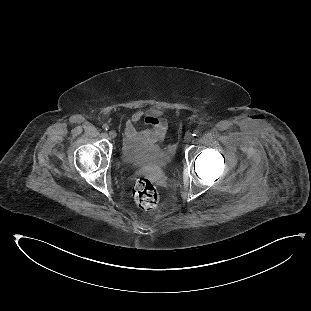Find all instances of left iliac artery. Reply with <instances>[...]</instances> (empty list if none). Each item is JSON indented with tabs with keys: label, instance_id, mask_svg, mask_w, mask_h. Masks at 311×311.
<instances>
[{
	"label": "left iliac artery",
	"instance_id": "obj_1",
	"mask_svg": "<svg viewBox=\"0 0 311 311\" xmlns=\"http://www.w3.org/2000/svg\"><path fill=\"white\" fill-rule=\"evenodd\" d=\"M198 134H199V131L198 130H194L192 135L193 136H197Z\"/></svg>",
	"mask_w": 311,
	"mask_h": 311
}]
</instances>
